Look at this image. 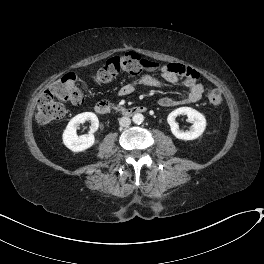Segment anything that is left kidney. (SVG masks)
I'll return each mask as SVG.
<instances>
[{
  "mask_svg": "<svg viewBox=\"0 0 264 264\" xmlns=\"http://www.w3.org/2000/svg\"><path fill=\"white\" fill-rule=\"evenodd\" d=\"M178 115H186L190 122L193 123L191 130L182 131L179 129L175 119ZM167 122L171 127L172 134L181 140H194L201 136L206 128V119L203 114L191 107H180L172 111Z\"/></svg>",
  "mask_w": 264,
  "mask_h": 264,
  "instance_id": "obj_1",
  "label": "left kidney"
}]
</instances>
